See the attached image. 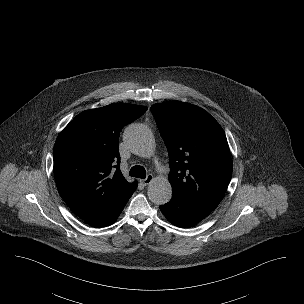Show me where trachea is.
Returning <instances> with one entry per match:
<instances>
[{"label": "trachea", "instance_id": "1", "mask_svg": "<svg viewBox=\"0 0 304 304\" xmlns=\"http://www.w3.org/2000/svg\"><path fill=\"white\" fill-rule=\"evenodd\" d=\"M130 176L137 178H146V170L143 166L135 165L130 169Z\"/></svg>", "mask_w": 304, "mask_h": 304}]
</instances>
